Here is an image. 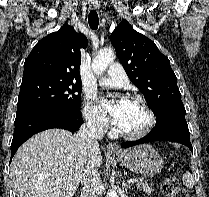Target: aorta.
I'll use <instances>...</instances> for the list:
<instances>
[{
    "mask_svg": "<svg viewBox=\"0 0 209 197\" xmlns=\"http://www.w3.org/2000/svg\"><path fill=\"white\" fill-rule=\"evenodd\" d=\"M115 59V53L111 48L100 50L92 62V69L96 75H101L108 65ZM106 197H118L114 190H110Z\"/></svg>",
    "mask_w": 209,
    "mask_h": 197,
    "instance_id": "762f6f07",
    "label": "aorta"
}]
</instances>
